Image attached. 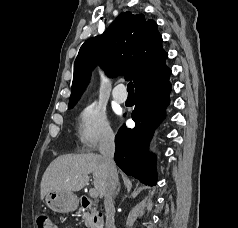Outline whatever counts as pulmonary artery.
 Wrapping results in <instances>:
<instances>
[{
	"label": "pulmonary artery",
	"instance_id": "1",
	"mask_svg": "<svg viewBox=\"0 0 238 228\" xmlns=\"http://www.w3.org/2000/svg\"><path fill=\"white\" fill-rule=\"evenodd\" d=\"M112 95L118 103H124L127 100V94L125 93V87L123 84H118L113 89Z\"/></svg>",
	"mask_w": 238,
	"mask_h": 228
}]
</instances>
